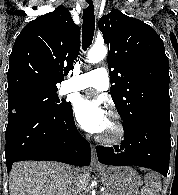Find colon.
<instances>
[{"mask_svg": "<svg viewBox=\"0 0 178 195\" xmlns=\"http://www.w3.org/2000/svg\"><path fill=\"white\" fill-rule=\"evenodd\" d=\"M142 195H153V193L150 192V191H144V192L142 193Z\"/></svg>", "mask_w": 178, "mask_h": 195, "instance_id": "obj_1", "label": "colon"}]
</instances>
